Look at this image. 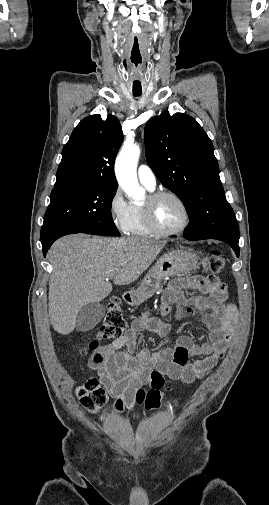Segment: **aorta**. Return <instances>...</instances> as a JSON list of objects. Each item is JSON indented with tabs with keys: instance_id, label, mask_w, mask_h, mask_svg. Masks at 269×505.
<instances>
[{
	"instance_id": "762f6f07",
	"label": "aorta",
	"mask_w": 269,
	"mask_h": 505,
	"mask_svg": "<svg viewBox=\"0 0 269 505\" xmlns=\"http://www.w3.org/2000/svg\"><path fill=\"white\" fill-rule=\"evenodd\" d=\"M140 147L137 144H125L115 162V175L118 184L133 202H140L145 198V190L137 179V163Z\"/></svg>"
}]
</instances>
